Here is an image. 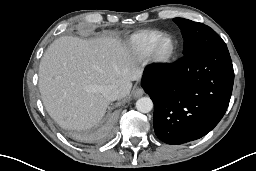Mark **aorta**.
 Returning a JSON list of instances; mask_svg holds the SVG:
<instances>
[{
    "mask_svg": "<svg viewBox=\"0 0 256 171\" xmlns=\"http://www.w3.org/2000/svg\"><path fill=\"white\" fill-rule=\"evenodd\" d=\"M136 108L141 113H148L153 108V102L149 97H142L137 100Z\"/></svg>",
    "mask_w": 256,
    "mask_h": 171,
    "instance_id": "obj_1",
    "label": "aorta"
}]
</instances>
